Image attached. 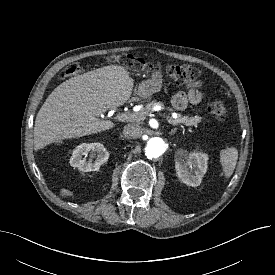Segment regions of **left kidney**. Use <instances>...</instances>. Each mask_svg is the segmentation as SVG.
<instances>
[{
    "label": "left kidney",
    "mask_w": 275,
    "mask_h": 275,
    "mask_svg": "<svg viewBox=\"0 0 275 275\" xmlns=\"http://www.w3.org/2000/svg\"><path fill=\"white\" fill-rule=\"evenodd\" d=\"M208 155L202 152H188L180 149L175 154L177 176L188 186L200 185L207 171Z\"/></svg>",
    "instance_id": "left-kidney-1"
}]
</instances>
